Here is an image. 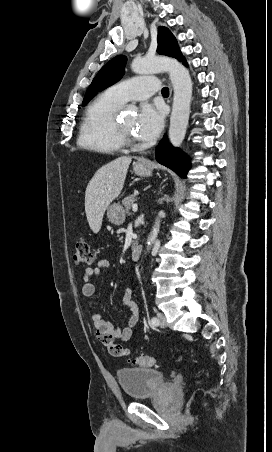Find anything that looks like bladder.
Masks as SVG:
<instances>
[{
	"instance_id": "1",
	"label": "bladder",
	"mask_w": 272,
	"mask_h": 452,
	"mask_svg": "<svg viewBox=\"0 0 272 452\" xmlns=\"http://www.w3.org/2000/svg\"><path fill=\"white\" fill-rule=\"evenodd\" d=\"M116 376L130 399H142L156 394L167 384L165 375L152 368L119 369Z\"/></svg>"
}]
</instances>
